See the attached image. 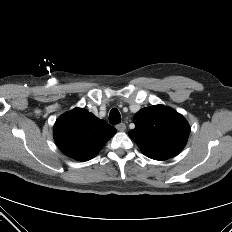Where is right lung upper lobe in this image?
Masks as SVG:
<instances>
[{"mask_svg":"<svg viewBox=\"0 0 232 232\" xmlns=\"http://www.w3.org/2000/svg\"><path fill=\"white\" fill-rule=\"evenodd\" d=\"M53 132L64 154L87 161L101 150L116 130L87 110L75 108L57 119Z\"/></svg>","mask_w":232,"mask_h":232,"instance_id":"1","label":"right lung upper lobe"}]
</instances>
